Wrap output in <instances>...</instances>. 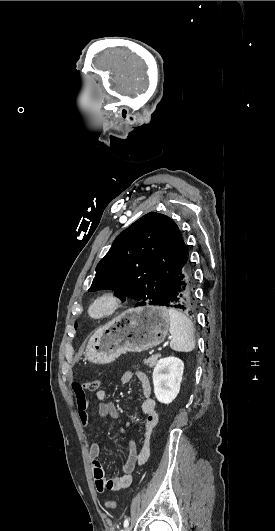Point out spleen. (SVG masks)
Instances as JSON below:
<instances>
[{"label":"spleen","instance_id":"1","mask_svg":"<svg viewBox=\"0 0 275 531\" xmlns=\"http://www.w3.org/2000/svg\"><path fill=\"white\" fill-rule=\"evenodd\" d=\"M170 317L169 333L172 335L170 343L173 351L190 353L195 349L194 325L187 315L179 313L176 309H168Z\"/></svg>","mask_w":275,"mask_h":531}]
</instances>
